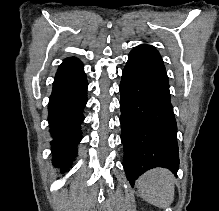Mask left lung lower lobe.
Returning <instances> with one entry per match:
<instances>
[{"label":"left lung lower lobe","instance_id":"obj_1","mask_svg":"<svg viewBox=\"0 0 219 211\" xmlns=\"http://www.w3.org/2000/svg\"><path fill=\"white\" fill-rule=\"evenodd\" d=\"M123 166L130 184L155 167L179 168L177 124L163 61L133 49L120 83Z\"/></svg>","mask_w":219,"mask_h":211}]
</instances>
